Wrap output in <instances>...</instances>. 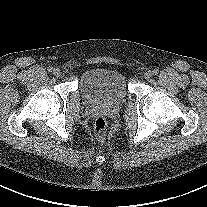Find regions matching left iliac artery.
<instances>
[{"mask_svg":"<svg viewBox=\"0 0 207 207\" xmlns=\"http://www.w3.org/2000/svg\"><path fill=\"white\" fill-rule=\"evenodd\" d=\"M152 72H153L154 75H157L159 73V70L158 69H154Z\"/></svg>","mask_w":207,"mask_h":207,"instance_id":"obj_1","label":"left iliac artery"}]
</instances>
